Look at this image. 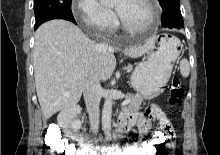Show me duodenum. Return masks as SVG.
<instances>
[{
	"mask_svg": "<svg viewBox=\"0 0 220 155\" xmlns=\"http://www.w3.org/2000/svg\"><path fill=\"white\" fill-rule=\"evenodd\" d=\"M79 107H73L65 110L60 115V124L65 129V131L77 141L87 145V149L85 150V155H98L101 151L98 147H92L87 144V139L84 137L78 136L74 133L72 128L73 119L79 114ZM128 132L126 125L121 121L118 128L116 129L115 137L120 138L124 134Z\"/></svg>",
	"mask_w": 220,
	"mask_h": 155,
	"instance_id": "duodenum-1",
	"label": "duodenum"
}]
</instances>
